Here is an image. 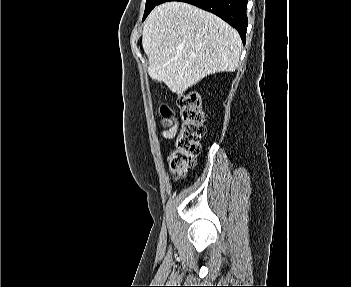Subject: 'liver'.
Listing matches in <instances>:
<instances>
[{"label": "liver", "instance_id": "obj_1", "mask_svg": "<svg viewBox=\"0 0 351 287\" xmlns=\"http://www.w3.org/2000/svg\"><path fill=\"white\" fill-rule=\"evenodd\" d=\"M142 46L150 77L181 94L207 75L238 67V32L216 15L183 2L156 6L145 21Z\"/></svg>", "mask_w": 351, "mask_h": 287}]
</instances>
